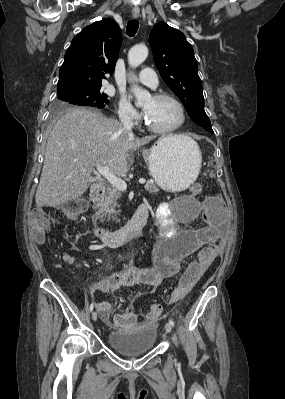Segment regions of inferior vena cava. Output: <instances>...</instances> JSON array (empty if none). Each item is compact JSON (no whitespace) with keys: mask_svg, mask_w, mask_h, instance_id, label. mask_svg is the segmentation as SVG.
<instances>
[{"mask_svg":"<svg viewBox=\"0 0 285 399\" xmlns=\"http://www.w3.org/2000/svg\"><path fill=\"white\" fill-rule=\"evenodd\" d=\"M120 120H121V124L124 126V128L127 131L131 132V129L133 127V121H132L131 117L129 115H122L120 117Z\"/></svg>","mask_w":285,"mask_h":399,"instance_id":"inferior-vena-cava-1","label":"inferior vena cava"}]
</instances>
